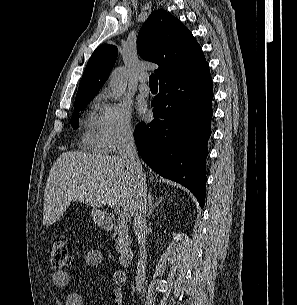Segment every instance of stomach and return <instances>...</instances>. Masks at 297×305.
<instances>
[{
  "mask_svg": "<svg viewBox=\"0 0 297 305\" xmlns=\"http://www.w3.org/2000/svg\"><path fill=\"white\" fill-rule=\"evenodd\" d=\"M91 215L96 223L101 224L103 222L102 212L98 209H93Z\"/></svg>",
  "mask_w": 297,
  "mask_h": 305,
  "instance_id": "stomach-1",
  "label": "stomach"
}]
</instances>
